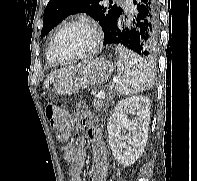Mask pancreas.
I'll return each instance as SVG.
<instances>
[{"label": "pancreas", "instance_id": "cf45deb5", "mask_svg": "<svg viewBox=\"0 0 197 181\" xmlns=\"http://www.w3.org/2000/svg\"><path fill=\"white\" fill-rule=\"evenodd\" d=\"M92 104L96 109H100L103 106V101L101 99H95Z\"/></svg>", "mask_w": 197, "mask_h": 181}]
</instances>
